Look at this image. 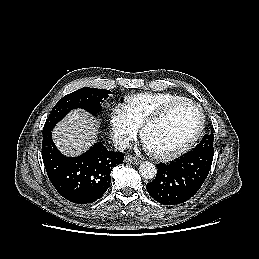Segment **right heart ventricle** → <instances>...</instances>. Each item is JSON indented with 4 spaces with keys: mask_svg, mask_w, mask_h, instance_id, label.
<instances>
[{
    "mask_svg": "<svg viewBox=\"0 0 259 259\" xmlns=\"http://www.w3.org/2000/svg\"><path fill=\"white\" fill-rule=\"evenodd\" d=\"M182 99L186 98L173 93H141L126 97L124 107L131 121L139 128L163 106Z\"/></svg>",
    "mask_w": 259,
    "mask_h": 259,
    "instance_id": "obj_1",
    "label": "right heart ventricle"
}]
</instances>
